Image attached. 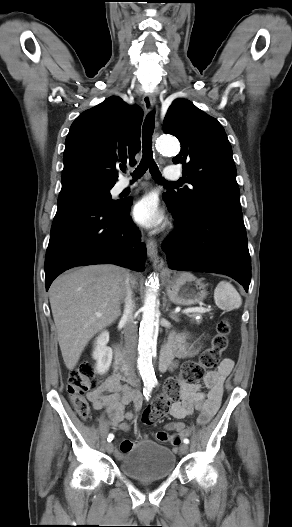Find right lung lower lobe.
Wrapping results in <instances>:
<instances>
[{"label": "right lung lower lobe", "mask_w": 292, "mask_h": 527, "mask_svg": "<svg viewBox=\"0 0 292 527\" xmlns=\"http://www.w3.org/2000/svg\"><path fill=\"white\" fill-rule=\"evenodd\" d=\"M131 201L105 205L76 195L59 197L45 257L46 290L76 266L116 264L145 269L146 247L129 216Z\"/></svg>", "instance_id": "obj_1"}]
</instances>
